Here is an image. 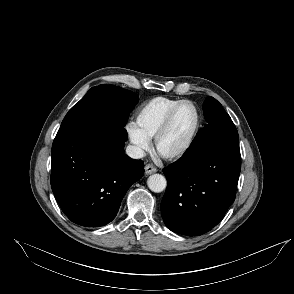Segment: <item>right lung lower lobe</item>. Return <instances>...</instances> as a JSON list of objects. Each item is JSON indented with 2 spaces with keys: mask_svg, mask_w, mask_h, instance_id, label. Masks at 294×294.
I'll return each mask as SVG.
<instances>
[{
  "mask_svg": "<svg viewBox=\"0 0 294 294\" xmlns=\"http://www.w3.org/2000/svg\"><path fill=\"white\" fill-rule=\"evenodd\" d=\"M107 105L115 94L107 85L89 91ZM124 126L111 124L59 134L52 145L51 187L65 215L86 227L111 222L129 187L144 173L143 162L124 154Z\"/></svg>",
  "mask_w": 294,
  "mask_h": 294,
  "instance_id": "obj_1",
  "label": "right lung lower lobe"
}]
</instances>
